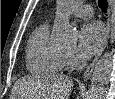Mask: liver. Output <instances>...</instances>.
Masks as SVG:
<instances>
[{"label":"liver","instance_id":"liver-1","mask_svg":"<svg viewBox=\"0 0 115 99\" xmlns=\"http://www.w3.org/2000/svg\"><path fill=\"white\" fill-rule=\"evenodd\" d=\"M73 80L66 76L24 77L16 81V99H68Z\"/></svg>","mask_w":115,"mask_h":99}]
</instances>
